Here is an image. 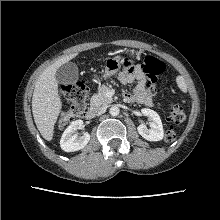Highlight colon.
<instances>
[{
	"instance_id": "colon-1",
	"label": "colon",
	"mask_w": 220,
	"mask_h": 220,
	"mask_svg": "<svg viewBox=\"0 0 220 220\" xmlns=\"http://www.w3.org/2000/svg\"><path fill=\"white\" fill-rule=\"evenodd\" d=\"M121 64L124 67L130 66V62L127 58L123 59ZM142 68L152 86L157 81L159 75L164 71V64L157 58L148 56L144 59ZM61 93L70 103L69 109L62 112L58 120L59 125L65 127L73 121L81 118L86 113L88 107L87 92L83 82H75L62 86ZM169 119L171 122L179 124L184 121L185 114L179 106L172 105L169 108ZM175 138L176 133L170 128L165 134V141L171 143Z\"/></svg>"
}]
</instances>
